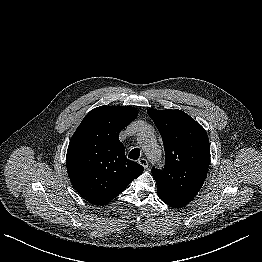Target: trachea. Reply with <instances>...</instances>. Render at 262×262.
Segmentation results:
<instances>
[{"mask_svg":"<svg viewBox=\"0 0 262 262\" xmlns=\"http://www.w3.org/2000/svg\"><path fill=\"white\" fill-rule=\"evenodd\" d=\"M130 159L137 160L140 157V149L134 148L130 151L129 156Z\"/></svg>","mask_w":262,"mask_h":262,"instance_id":"trachea-1","label":"trachea"}]
</instances>
